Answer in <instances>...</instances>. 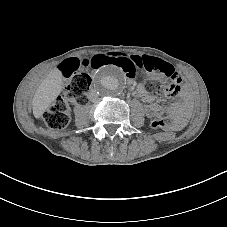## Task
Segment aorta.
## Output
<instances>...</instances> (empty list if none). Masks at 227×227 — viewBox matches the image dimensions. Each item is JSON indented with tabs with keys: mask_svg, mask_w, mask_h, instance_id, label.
I'll return each mask as SVG.
<instances>
[{
	"mask_svg": "<svg viewBox=\"0 0 227 227\" xmlns=\"http://www.w3.org/2000/svg\"><path fill=\"white\" fill-rule=\"evenodd\" d=\"M125 87L122 71L112 65L101 67L94 76L93 88L103 97L119 95Z\"/></svg>",
	"mask_w": 227,
	"mask_h": 227,
	"instance_id": "1",
	"label": "aorta"
}]
</instances>
